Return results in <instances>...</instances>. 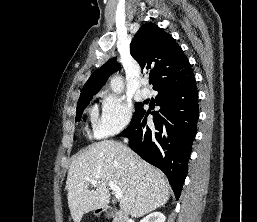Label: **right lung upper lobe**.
<instances>
[{"mask_svg": "<svg viewBox=\"0 0 257 222\" xmlns=\"http://www.w3.org/2000/svg\"><path fill=\"white\" fill-rule=\"evenodd\" d=\"M130 53L139 65L155 77L153 89L165 83L182 80L193 74L191 64L171 35L154 23H146L138 30L130 44ZM120 67L110 59L94 71L81 90L78 104L93 97L108 77Z\"/></svg>", "mask_w": 257, "mask_h": 222, "instance_id": "1", "label": "right lung upper lobe"}]
</instances>
